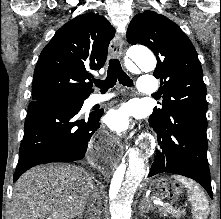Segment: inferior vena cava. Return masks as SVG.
<instances>
[{
  "instance_id": "inferior-vena-cava-1",
  "label": "inferior vena cava",
  "mask_w": 221,
  "mask_h": 219,
  "mask_svg": "<svg viewBox=\"0 0 221 219\" xmlns=\"http://www.w3.org/2000/svg\"><path fill=\"white\" fill-rule=\"evenodd\" d=\"M101 196L98 192V189L94 190V192L90 195L88 199V212L90 219H100L101 211Z\"/></svg>"
}]
</instances>
